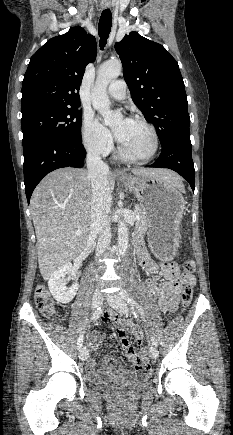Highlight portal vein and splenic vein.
Masks as SVG:
<instances>
[{
    "instance_id": "1",
    "label": "portal vein and splenic vein",
    "mask_w": 233,
    "mask_h": 435,
    "mask_svg": "<svg viewBox=\"0 0 233 435\" xmlns=\"http://www.w3.org/2000/svg\"><path fill=\"white\" fill-rule=\"evenodd\" d=\"M135 219L138 220L139 219V215H136ZM80 234H81V231H76V235H80Z\"/></svg>"
}]
</instances>
